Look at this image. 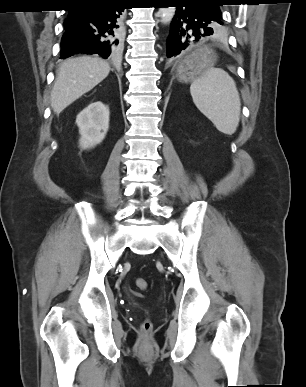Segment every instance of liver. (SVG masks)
Wrapping results in <instances>:
<instances>
[{
  "mask_svg": "<svg viewBox=\"0 0 306 387\" xmlns=\"http://www.w3.org/2000/svg\"><path fill=\"white\" fill-rule=\"evenodd\" d=\"M110 72V65L97 57L80 56L65 60L58 71L51 92V107L61 113L85 93L102 82Z\"/></svg>",
  "mask_w": 306,
  "mask_h": 387,
  "instance_id": "6515ba94",
  "label": "liver"
}]
</instances>
